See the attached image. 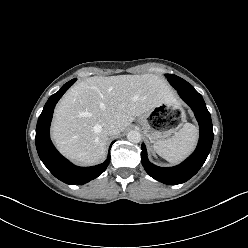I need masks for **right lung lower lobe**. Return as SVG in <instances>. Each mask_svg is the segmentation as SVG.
Segmentation results:
<instances>
[{
  "instance_id": "1",
  "label": "right lung lower lobe",
  "mask_w": 248,
  "mask_h": 248,
  "mask_svg": "<svg viewBox=\"0 0 248 248\" xmlns=\"http://www.w3.org/2000/svg\"><path fill=\"white\" fill-rule=\"evenodd\" d=\"M75 81L76 79H72L64 84L46 102L37 122L35 143L41 161L56 178L70 185H82L97 178L106 170L110 161V155H108L107 160L102 164L92 167H78L60 155L50 140L49 129L54 107ZM114 142L111 143L110 147Z\"/></svg>"
}]
</instances>
